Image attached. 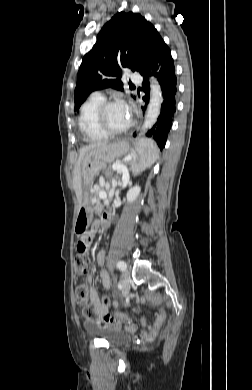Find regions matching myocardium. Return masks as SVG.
<instances>
[{
  "instance_id": "obj_1",
  "label": "myocardium",
  "mask_w": 252,
  "mask_h": 390,
  "mask_svg": "<svg viewBox=\"0 0 252 390\" xmlns=\"http://www.w3.org/2000/svg\"><path fill=\"white\" fill-rule=\"evenodd\" d=\"M115 104H125L123 100L120 99H109L105 100L96 111V123L98 128L108 136H118L127 133L133 126L134 121L131 119L129 125L121 130H114L110 128L106 121V113L110 106Z\"/></svg>"
}]
</instances>
